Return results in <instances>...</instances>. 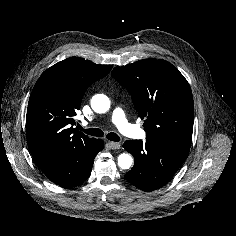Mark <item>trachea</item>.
<instances>
[{
  "instance_id": "obj_1",
  "label": "trachea",
  "mask_w": 236,
  "mask_h": 236,
  "mask_svg": "<svg viewBox=\"0 0 236 236\" xmlns=\"http://www.w3.org/2000/svg\"><path fill=\"white\" fill-rule=\"evenodd\" d=\"M80 130L84 131L88 135L95 136V137H103L104 135L103 131L98 128L83 129L82 127H80ZM106 138L114 142L120 141V137L114 132L108 133L106 135Z\"/></svg>"
}]
</instances>
